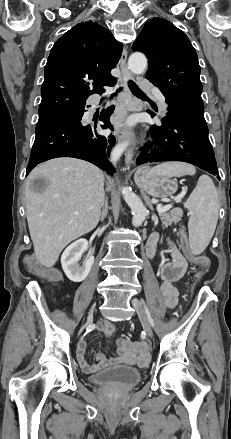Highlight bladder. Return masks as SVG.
<instances>
[{"label":"bladder","instance_id":"bladder-1","mask_svg":"<svg viewBox=\"0 0 231 439\" xmlns=\"http://www.w3.org/2000/svg\"><path fill=\"white\" fill-rule=\"evenodd\" d=\"M141 380V373L138 369L127 366L119 365L98 373H95L89 377V381L95 385H108L121 388H128L138 384Z\"/></svg>","mask_w":231,"mask_h":439}]
</instances>
